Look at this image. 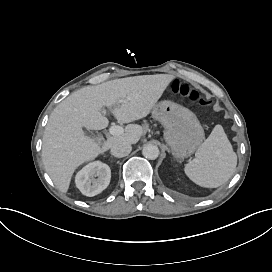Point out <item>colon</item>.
Masks as SVG:
<instances>
[{"instance_id": "obj_1", "label": "colon", "mask_w": 272, "mask_h": 272, "mask_svg": "<svg viewBox=\"0 0 272 272\" xmlns=\"http://www.w3.org/2000/svg\"><path fill=\"white\" fill-rule=\"evenodd\" d=\"M173 87L175 92L189 98L190 100L200 105L206 106L210 103L209 98L201 94L198 90H191L187 85L180 86L177 82H174Z\"/></svg>"}]
</instances>
